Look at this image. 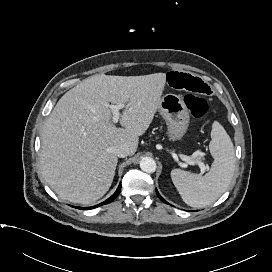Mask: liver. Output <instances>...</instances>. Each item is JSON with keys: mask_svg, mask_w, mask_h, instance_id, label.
<instances>
[{"mask_svg": "<svg viewBox=\"0 0 272 272\" xmlns=\"http://www.w3.org/2000/svg\"><path fill=\"white\" fill-rule=\"evenodd\" d=\"M166 78L165 73L94 75L60 98L44 123L40 152L42 175L59 198L89 205L109 190L118 162L112 148L123 143L135 154ZM110 103L126 104L123 128L113 124Z\"/></svg>", "mask_w": 272, "mask_h": 272, "instance_id": "liver-1", "label": "liver"}]
</instances>
